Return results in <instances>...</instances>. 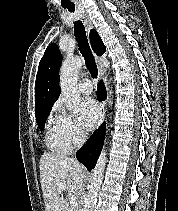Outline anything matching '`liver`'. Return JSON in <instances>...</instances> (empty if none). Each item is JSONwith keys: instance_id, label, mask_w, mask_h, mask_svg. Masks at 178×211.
<instances>
[{"instance_id": "obj_1", "label": "liver", "mask_w": 178, "mask_h": 211, "mask_svg": "<svg viewBox=\"0 0 178 211\" xmlns=\"http://www.w3.org/2000/svg\"><path fill=\"white\" fill-rule=\"evenodd\" d=\"M39 168L45 211H68V202L58 185L66 186L68 196L76 195L85 179L84 167L72 158L46 152L40 158Z\"/></svg>"}]
</instances>
